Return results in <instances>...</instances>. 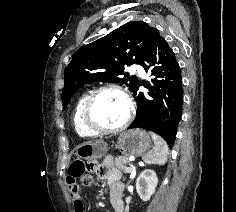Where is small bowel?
I'll use <instances>...</instances> for the list:
<instances>
[{
    "label": "small bowel",
    "instance_id": "c3829d8e",
    "mask_svg": "<svg viewBox=\"0 0 236 212\" xmlns=\"http://www.w3.org/2000/svg\"><path fill=\"white\" fill-rule=\"evenodd\" d=\"M101 177L107 182L110 194L111 201L117 212H122L121 204V193H122V184L120 182V173L116 170H102L100 172ZM67 183L70 186V194L72 197V204L74 212H84L83 211V200L81 197V187L79 184L82 183L81 179H78V175H66Z\"/></svg>",
    "mask_w": 236,
    "mask_h": 212
}]
</instances>
